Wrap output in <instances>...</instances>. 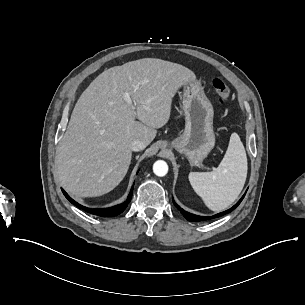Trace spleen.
<instances>
[{
  "instance_id": "obj_1",
  "label": "spleen",
  "mask_w": 305,
  "mask_h": 305,
  "mask_svg": "<svg viewBox=\"0 0 305 305\" xmlns=\"http://www.w3.org/2000/svg\"><path fill=\"white\" fill-rule=\"evenodd\" d=\"M247 168L243 143L237 133H232L219 166L212 172H190L189 181L209 209L222 211L241 193L247 177Z\"/></svg>"
}]
</instances>
